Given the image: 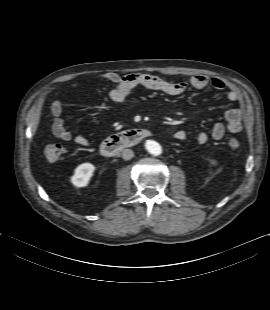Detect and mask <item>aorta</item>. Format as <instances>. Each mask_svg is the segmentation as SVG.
<instances>
[{
    "label": "aorta",
    "mask_w": 270,
    "mask_h": 310,
    "mask_svg": "<svg viewBox=\"0 0 270 310\" xmlns=\"http://www.w3.org/2000/svg\"><path fill=\"white\" fill-rule=\"evenodd\" d=\"M145 146H146V149L148 150V152L155 155V156H158L162 153V147L156 141L148 140L146 142Z\"/></svg>",
    "instance_id": "obj_1"
}]
</instances>
